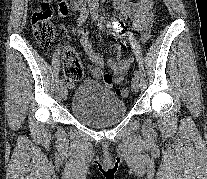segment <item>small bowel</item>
<instances>
[{
	"instance_id": "small-bowel-1",
	"label": "small bowel",
	"mask_w": 207,
	"mask_h": 179,
	"mask_svg": "<svg viewBox=\"0 0 207 179\" xmlns=\"http://www.w3.org/2000/svg\"><path fill=\"white\" fill-rule=\"evenodd\" d=\"M113 1L120 16V20L116 21L115 27L120 30L124 29L126 27L125 20L129 17L132 20L134 29L141 33V40L145 41L149 36L153 21L152 0H141L136 6H133L128 0ZM57 6L60 15L66 16L69 14V8L63 1L57 0ZM81 43L93 63L91 72L95 79L103 80L107 89H112L115 84H120L123 81L124 73L130 68L133 58L130 56L121 57L123 52V45L121 43L115 44L118 58L107 60L111 74L103 71L104 59L94 50L91 38L87 33L81 36ZM70 86L73 87V84H70Z\"/></svg>"
}]
</instances>
